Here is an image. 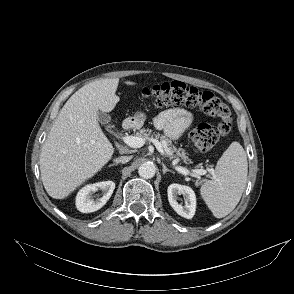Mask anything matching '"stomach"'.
Segmentation results:
<instances>
[{"mask_svg":"<svg viewBox=\"0 0 294 294\" xmlns=\"http://www.w3.org/2000/svg\"><path fill=\"white\" fill-rule=\"evenodd\" d=\"M146 117L147 116L145 112L137 111L132 117L133 124L138 128L142 127L146 120Z\"/></svg>","mask_w":294,"mask_h":294,"instance_id":"stomach-1","label":"stomach"}]
</instances>
